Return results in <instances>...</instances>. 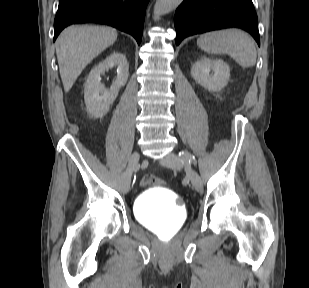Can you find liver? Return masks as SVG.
Here are the masks:
<instances>
[{"label":"liver","mask_w":309,"mask_h":288,"mask_svg":"<svg viewBox=\"0 0 309 288\" xmlns=\"http://www.w3.org/2000/svg\"><path fill=\"white\" fill-rule=\"evenodd\" d=\"M117 31L104 26H69L56 41V54L64 91L68 92L83 69L114 44Z\"/></svg>","instance_id":"liver-1"}]
</instances>
